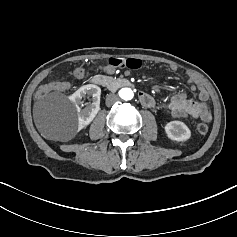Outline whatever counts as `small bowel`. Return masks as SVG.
I'll return each mask as SVG.
<instances>
[{"instance_id":"obj_1","label":"small bowel","mask_w":237,"mask_h":237,"mask_svg":"<svg viewBox=\"0 0 237 237\" xmlns=\"http://www.w3.org/2000/svg\"><path fill=\"white\" fill-rule=\"evenodd\" d=\"M102 69L106 73H113L116 70L115 67L109 64L103 66ZM170 69L171 71H176L177 67L171 66ZM188 76L191 90L199 92V102L189 99L187 94L182 92L170 98L160 107L166 109L167 112L175 118L189 117L191 119H201L208 122L212 118L208 107L209 94L194 75L188 74ZM83 77L84 73L77 76L79 79ZM49 85L51 90L55 91H65L69 88V84L66 82H53ZM139 101L146 108L159 106L156 99L146 92L139 93Z\"/></svg>"}]
</instances>
